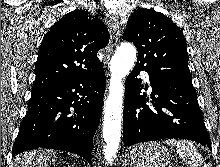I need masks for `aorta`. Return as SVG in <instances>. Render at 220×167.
I'll use <instances>...</instances> for the list:
<instances>
[{"label":"aorta","mask_w":220,"mask_h":167,"mask_svg":"<svg viewBox=\"0 0 220 167\" xmlns=\"http://www.w3.org/2000/svg\"><path fill=\"white\" fill-rule=\"evenodd\" d=\"M136 49L129 43H122L110 61L111 79L109 95L105 102L103 138L105 141L104 157L112 164L118 152L121 137V119L123 108L122 79L134 67Z\"/></svg>","instance_id":"obj_1"}]
</instances>
